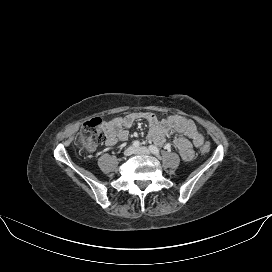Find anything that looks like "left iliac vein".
Instances as JSON below:
<instances>
[{
    "mask_svg": "<svg viewBox=\"0 0 272 272\" xmlns=\"http://www.w3.org/2000/svg\"><path fill=\"white\" fill-rule=\"evenodd\" d=\"M135 154H139V155H149L150 154V150L146 147H139L135 149Z\"/></svg>",
    "mask_w": 272,
    "mask_h": 272,
    "instance_id": "1",
    "label": "left iliac vein"
}]
</instances>
